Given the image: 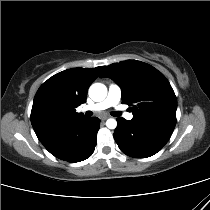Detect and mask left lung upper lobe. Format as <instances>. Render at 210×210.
Here are the masks:
<instances>
[{
  "label": "left lung upper lobe",
  "mask_w": 210,
  "mask_h": 210,
  "mask_svg": "<svg viewBox=\"0 0 210 210\" xmlns=\"http://www.w3.org/2000/svg\"><path fill=\"white\" fill-rule=\"evenodd\" d=\"M100 77H109L121 87L122 103L132 106V122L175 127L177 99L169 81L157 69L128 60L103 66Z\"/></svg>",
  "instance_id": "obj_1"
}]
</instances>
